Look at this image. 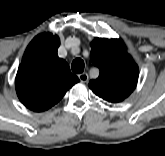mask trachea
Wrapping results in <instances>:
<instances>
[{
	"mask_svg": "<svg viewBox=\"0 0 165 156\" xmlns=\"http://www.w3.org/2000/svg\"><path fill=\"white\" fill-rule=\"evenodd\" d=\"M74 73H82L84 71V61L81 58H76L71 64Z\"/></svg>",
	"mask_w": 165,
	"mask_h": 156,
	"instance_id": "obj_1",
	"label": "trachea"
}]
</instances>
